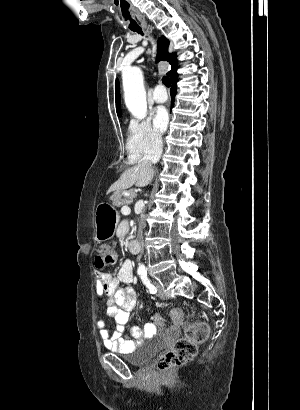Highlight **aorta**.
Masks as SVG:
<instances>
[{"mask_svg":"<svg viewBox=\"0 0 300 410\" xmlns=\"http://www.w3.org/2000/svg\"><path fill=\"white\" fill-rule=\"evenodd\" d=\"M125 104L131 114L142 119L147 114L146 92L143 82V72L139 67H131L122 74ZM139 270L145 271V266L139 264Z\"/></svg>","mask_w":300,"mask_h":410,"instance_id":"aorta-1","label":"aorta"}]
</instances>
